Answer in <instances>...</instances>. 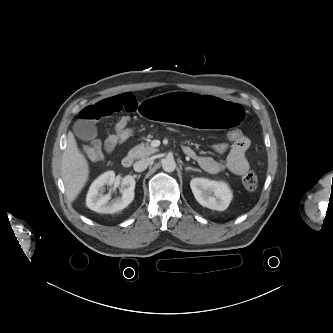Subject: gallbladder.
I'll list each match as a JSON object with an SVG mask.
<instances>
[{
    "mask_svg": "<svg viewBox=\"0 0 333 333\" xmlns=\"http://www.w3.org/2000/svg\"><path fill=\"white\" fill-rule=\"evenodd\" d=\"M75 135L80 139H88L96 134V127L87 121H77L73 126Z\"/></svg>",
    "mask_w": 333,
    "mask_h": 333,
    "instance_id": "1",
    "label": "gallbladder"
}]
</instances>
